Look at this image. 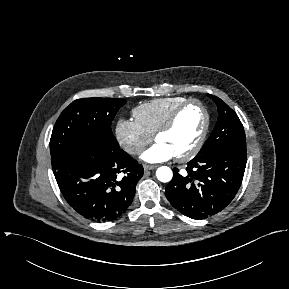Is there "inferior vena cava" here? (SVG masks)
Here are the masks:
<instances>
[{"label": "inferior vena cava", "instance_id": "inferior-vena-cava-1", "mask_svg": "<svg viewBox=\"0 0 289 289\" xmlns=\"http://www.w3.org/2000/svg\"><path fill=\"white\" fill-rule=\"evenodd\" d=\"M142 151H143V149L141 147H137V146H131L127 149V152L129 154H133V155L140 154V153H142Z\"/></svg>", "mask_w": 289, "mask_h": 289}]
</instances>
